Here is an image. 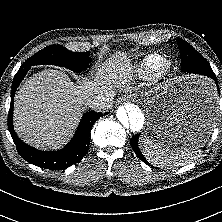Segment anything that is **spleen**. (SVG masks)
<instances>
[{"instance_id": "1", "label": "spleen", "mask_w": 222, "mask_h": 222, "mask_svg": "<svg viewBox=\"0 0 222 222\" xmlns=\"http://www.w3.org/2000/svg\"><path fill=\"white\" fill-rule=\"evenodd\" d=\"M141 148L148 162L160 168L186 165L201 152L200 148L186 150L169 148L152 141L148 137L142 139Z\"/></svg>"}]
</instances>
